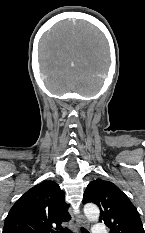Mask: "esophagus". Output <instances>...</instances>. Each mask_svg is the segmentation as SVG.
Wrapping results in <instances>:
<instances>
[{
    "mask_svg": "<svg viewBox=\"0 0 145 233\" xmlns=\"http://www.w3.org/2000/svg\"><path fill=\"white\" fill-rule=\"evenodd\" d=\"M77 222L80 226H83V227H88L89 225L87 219L81 214L77 216ZM74 231L75 233H78V229L75 228Z\"/></svg>",
    "mask_w": 145,
    "mask_h": 233,
    "instance_id": "obj_1",
    "label": "esophagus"
}]
</instances>
